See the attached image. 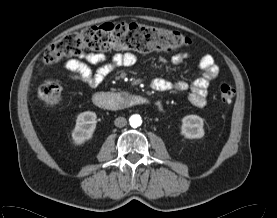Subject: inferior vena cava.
<instances>
[{"instance_id":"602c4592","label":"inferior vena cava","mask_w":277,"mask_h":218,"mask_svg":"<svg viewBox=\"0 0 277 218\" xmlns=\"http://www.w3.org/2000/svg\"><path fill=\"white\" fill-rule=\"evenodd\" d=\"M114 124L116 127H124L127 124V120L124 117H118L115 119Z\"/></svg>"}]
</instances>
